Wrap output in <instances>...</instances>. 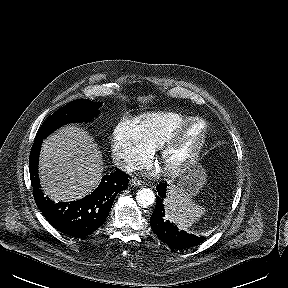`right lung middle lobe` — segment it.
Returning a JSON list of instances; mask_svg holds the SVG:
<instances>
[{
	"label": "right lung middle lobe",
	"mask_w": 288,
	"mask_h": 288,
	"mask_svg": "<svg viewBox=\"0 0 288 288\" xmlns=\"http://www.w3.org/2000/svg\"><path fill=\"white\" fill-rule=\"evenodd\" d=\"M101 105L102 102H92L87 99H78L66 104L43 123L35 140L45 138L64 124L91 120L99 113L98 108Z\"/></svg>",
	"instance_id": "1"
}]
</instances>
